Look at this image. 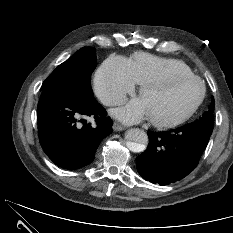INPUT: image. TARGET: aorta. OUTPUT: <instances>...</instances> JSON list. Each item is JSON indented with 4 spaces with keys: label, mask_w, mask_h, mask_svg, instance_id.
I'll return each mask as SVG.
<instances>
[{
    "label": "aorta",
    "mask_w": 233,
    "mask_h": 233,
    "mask_svg": "<svg viewBox=\"0 0 233 233\" xmlns=\"http://www.w3.org/2000/svg\"><path fill=\"white\" fill-rule=\"evenodd\" d=\"M125 139L127 148L134 153L143 152L149 141L146 132L139 128L129 129L125 133Z\"/></svg>",
    "instance_id": "762f6f07"
}]
</instances>
